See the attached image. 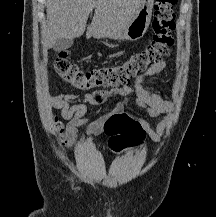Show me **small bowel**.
I'll list each match as a JSON object with an SVG mask.
<instances>
[{
  "mask_svg": "<svg viewBox=\"0 0 216 217\" xmlns=\"http://www.w3.org/2000/svg\"><path fill=\"white\" fill-rule=\"evenodd\" d=\"M169 69L166 61H161L138 76L134 86H123L120 88L101 89L84 94L80 97L77 93L57 94L51 97V106L61 111L63 119L68 123L63 133L67 143H73L77 139V128L87 125V136L89 138L100 135L105 131L106 124L113 118L126 115L136 121L144 131L145 135L154 142H160L169 124V118H165L155 128L133 114L127 113L125 108L129 102L147 111L149 116L157 117L171 110V103L158 94L152 92L147 85V80L165 70ZM112 99H119L116 106L109 112L100 114L104 104ZM88 106L96 108L90 118H86Z\"/></svg>",
  "mask_w": 216,
  "mask_h": 217,
  "instance_id": "obj_1",
  "label": "small bowel"
}]
</instances>
